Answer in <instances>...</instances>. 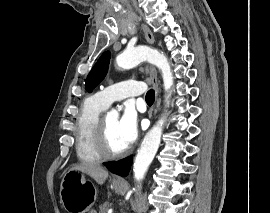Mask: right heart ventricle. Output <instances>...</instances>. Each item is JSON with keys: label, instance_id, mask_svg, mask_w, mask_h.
I'll use <instances>...</instances> for the list:
<instances>
[{"label": "right heart ventricle", "instance_id": "right-heart-ventricle-1", "mask_svg": "<svg viewBox=\"0 0 270 213\" xmlns=\"http://www.w3.org/2000/svg\"><path fill=\"white\" fill-rule=\"evenodd\" d=\"M105 108L95 99H86L76 119L75 149L78 158L87 163H99L102 157L94 145V129L100 113Z\"/></svg>", "mask_w": 270, "mask_h": 213}]
</instances>
